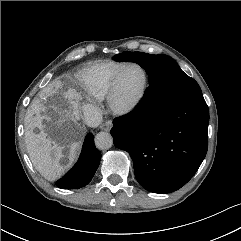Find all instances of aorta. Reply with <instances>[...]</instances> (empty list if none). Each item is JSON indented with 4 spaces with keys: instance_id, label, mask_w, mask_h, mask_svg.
<instances>
[{
    "instance_id": "aorta-1",
    "label": "aorta",
    "mask_w": 241,
    "mask_h": 241,
    "mask_svg": "<svg viewBox=\"0 0 241 241\" xmlns=\"http://www.w3.org/2000/svg\"><path fill=\"white\" fill-rule=\"evenodd\" d=\"M96 147L101 150H107L113 145V138L108 132H99L95 137Z\"/></svg>"
}]
</instances>
